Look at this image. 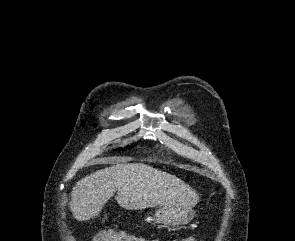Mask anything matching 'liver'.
Wrapping results in <instances>:
<instances>
[{
	"label": "liver",
	"instance_id": "obj_1",
	"mask_svg": "<svg viewBox=\"0 0 295 241\" xmlns=\"http://www.w3.org/2000/svg\"><path fill=\"white\" fill-rule=\"evenodd\" d=\"M117 191L127 210L154 206L192 208L199 196L176 176L142 163H117L79 180L72 189L70 209L78 221L97 216Z\"/></svg>",
	"mask_w": 295,
	"mask_h": 241
}]
</instances>
